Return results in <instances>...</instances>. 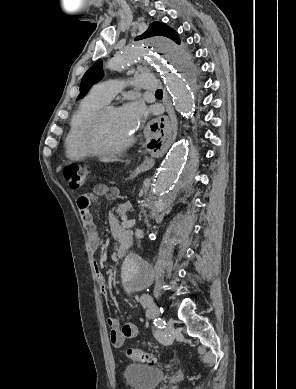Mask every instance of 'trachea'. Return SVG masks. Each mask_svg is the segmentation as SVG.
I'll list each match as a JSON object with an SVG mask.
<instances>
[{
	"label": "trachea",
	"mask_w": 296,
	"mask_h": 389,
	"mask_svg": "<svg viewBox=\"0 0 296 389\" xmlns=\"http://www.w3.org/2000/svg\"><path fill=\"white\" fill-rule=\"evenodd\" d=\"M156 95H162L163 94V92H162V90L161 89H158L157 91H156V93H155Z\"/></svg>",
	"instance_id": "trachea-1"
}]
</instances>
